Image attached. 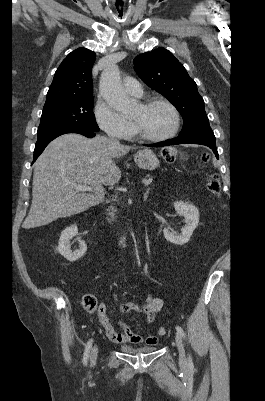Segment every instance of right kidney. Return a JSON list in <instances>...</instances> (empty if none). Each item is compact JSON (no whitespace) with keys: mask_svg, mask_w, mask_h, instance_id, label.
Instances as JSON below:
<instances>
[{"mask_svg":"<svg viewBox=\"0 0 265 401\" xmlns=\"http://www.w3.org/2000/svg\"><path fill=\"white\" fill-rule=\"evenodd\" d=\"M78 235V229L76 225H71V227H66L64 231L61 233V237L58 243V251L60 255H63L67 261H77L80 257H83L84 253H86L87 245L85 241H81V245L77 251H71L70 249V241L73 237Z\"/></svg>","mask_w":265,"mask_h":401,"instance_id":"1","label":"right kidney"}]
</instances>
